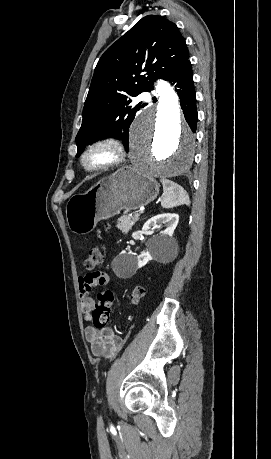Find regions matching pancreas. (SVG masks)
<instances>
[{"label":"pancreas","instance_id":"1","mask_svg":"<svg viewBox=\"0 0 271 459\" xmlns=\"http://www.w3.org/2000/svg\"><path fill=\"white\" fill-rule=\"evenodd\" d=\"M124 214H127V216L118 218L117 228L121 229L122 233H128L129 229L134 226L135 222H138L139 218L135 217V214H128V210Z\"/></svg>","mask_w":271,"mask_h":459}]
</instances>
